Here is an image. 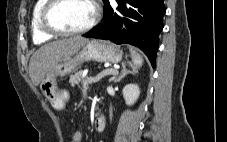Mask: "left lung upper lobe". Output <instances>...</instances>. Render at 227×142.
Segmentation results:
<instances>
[{
    "label": "left lung upper lobe",
    "instance_id": "5c2ea615",
    "mask_svg": "<svg viewBox=\"0 0 227 142\" xmlns=\"http://www.w3.org/2000/svg\"><path fill=\"white\" fill-rule=\"evenodd\" d=\"M105 6L109 3V0H103Z\"/></svg>",
    "mask_w": 227,
    "mask_h": 142
}]
</instances>
